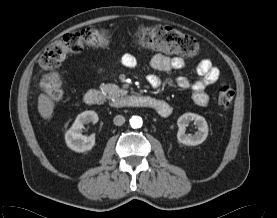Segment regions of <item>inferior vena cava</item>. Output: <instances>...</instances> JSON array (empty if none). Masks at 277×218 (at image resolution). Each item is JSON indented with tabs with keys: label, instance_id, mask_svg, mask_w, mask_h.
<instances>
[{
	"label": "inferior vena cava",
	"instance_id": "inferior-vena-cava-1",
	"mask_svg": "<svg viewBox=\"0 0 277 218\" xmlns=\"http://www.w3.org/2000/svg\"><path fill=\"white\" fill-rule=\"evenodd\" d=\"M113 122L116 126H121L125 123V117L122 115H116L113 119Z\"/></svg>",
	"mask_w": 277,
	"mask_h": 218
}]
</instances>
